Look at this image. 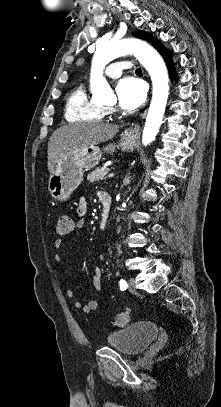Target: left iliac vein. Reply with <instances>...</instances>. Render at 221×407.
<instances>
[{
  "instance_id": "obj_1",
  "label": "left iliac vein",
  "mask_w": 221,
  "mask_h": 407,
  "mask_svg": "<svg viewBox=\"0 0 221 407\" xmlns=\"http://www.w3.org/2000/svg\"><path fill=\"white\" fill-rule=\"evenodd\" d=\"M128 290L131 293H134L136 291L135 283H134V280L132 278L129 280Z\"/></svg>"
}]
</instances>
